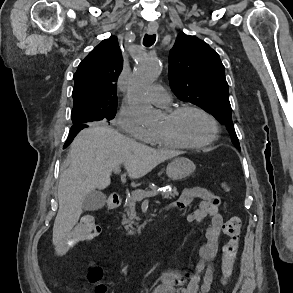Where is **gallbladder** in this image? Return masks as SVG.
<instances>
[{
  "label": "gallbladder",
  "instance_id": "obj_1",
  "mask_svg": "<svg viewBox=\"0 0 293 293\" xmlns=\"http://www.w3.org/2000/svg\"><path fill=\"white\" fill-rule=\"evenodd\" d=\"M105 203V194L100 191H93L85 196L82 206L85 211H96L101 209Z\"/></svg>",
  "mask_w": 293,
  "mask_h": 293
}]
</instances>
